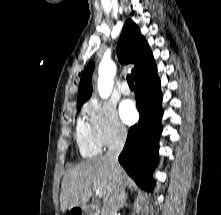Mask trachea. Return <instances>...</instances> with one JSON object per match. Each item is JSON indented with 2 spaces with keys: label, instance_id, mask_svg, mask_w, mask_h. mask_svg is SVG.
I'll use <instances>...</instances> for the list:
<instances>
[{
  "label": "trachea",
  "instance_id": "3493384b",
  "mask_svg": "<svg viewBox=\"0 0 221 215\" xmlns=\"http://www.w3.org/2000/svg\"><path fill=\"white\" fill-rule=\"evenodd\" d=\"M127 82L130 88H134V78L132 74L127 76Z\"/></svg>",
  "mask_w": 221,
  "mask_h": 215
}]
</instances>
